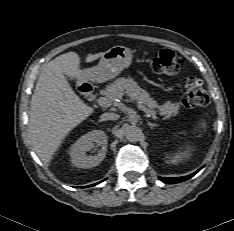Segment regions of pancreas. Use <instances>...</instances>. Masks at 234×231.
I'll list each match as a JSON object with an SVG mask.
<instances>
[{"instance_id": "obj_1", "label": "pancreas", "mask_w": 234, "mask_h": 231, "mask_svg": "<svg viewBox=\"0 0 234 231\" xmlns=\"http://www.w3.org/2000/svg\"><path fill=\"white\" fill-rule=\"evenodd\" d=\"M106 93L109 99H121L124 94H128L131 100L142 101L149 110L158 108L159 114L165 119L176 116L179 110V104L167 101L162 106L150 98L149 93L143 90L136 81L131 78H118L106 87Z\"/></svg>"}]
</instances>
